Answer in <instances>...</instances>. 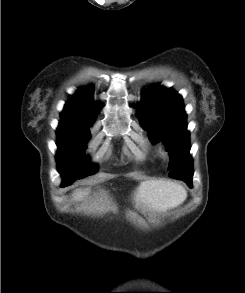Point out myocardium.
Here are the masks:
<instances>
[{
    "mask_svg": "<svg viewBox=\"0 0 245 293\" xmlns=\"http://www.w3.org/2000/svg\"><path fill=\"white\" fill-rule=\"evenodd\" d=\"M162 155L165 156V157H168L169 152L166 149H163L162 150Z\"/></svg>",
    "mask_w": 245,
    "mask_h": 293,
    "instance_id": "obj_1",
    "label": "myocardium"
}]
</instances>
